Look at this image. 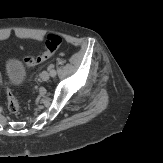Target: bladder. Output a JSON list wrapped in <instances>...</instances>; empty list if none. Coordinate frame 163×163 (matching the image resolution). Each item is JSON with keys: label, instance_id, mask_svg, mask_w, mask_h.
<instances>
[{"label": "bladder", "instance_id": "bladder-1", "mask_svg": "<svg viewBox=\"0 0 163 163\" xmlns=\"http://www.w3.org/2000/svg\"><path fill=\"white\" fill-rule=\"evenodd\" d=\"M6 79L14 87H21L27 79V71L24 65L16 60L9 59L5 66Z\"/></svg>", "mask_w": 163, "mask_h": 163}]
</instances>
